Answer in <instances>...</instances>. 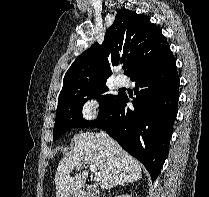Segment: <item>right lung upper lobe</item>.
Wrapping results in <instances>:
<instances>
[{"label": "right lung upper lobe", "instance_id": "obj_1", "mask_svg": "<svg viewBox=\"0 0 209 197\" xmlns=\"http://www.w3.org/2000/svg\"><path fill=\"white\" fill-rule=\"evenodd\" d=\"M170 51L167 39L150 18L126 9L117 12L102 45L93 44L70 66L63 88L78 84L106 82L111 66L127 64L126 75L134 76Z\"/></svg>", "mask_w": 209, "mask_h": 197}]
</instances>
